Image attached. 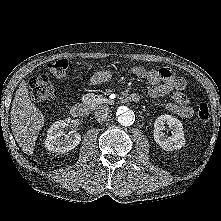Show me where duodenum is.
Listing matches in <instances>:
<instances>
[{"label":"duodenum","mask_w":221,"mask_h":221,"mask_svg":"<svg viewBox=\"0 0 221 221\" xmlns=\"http://www.w3.org/2000/svg\"><path fill=\"white\" fill-rule=\"evenodd\" d=\"M140 99L138 94H130L125 97L127 102L136 103ZM90 104L88 102L85 103H77L71 107V115L74 117H85L89 114Z\"/></svg>","instance_id":"410a0bca"}]
</instances>
